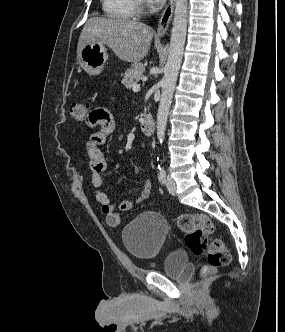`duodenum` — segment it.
Wrapping results in <instances>:
<instances>
[{"label": "duodenum", "mask_w": 285, "mask_h": 332, "mask_svg": "<svg viewBox=\"0 0 285 332\" xmlns=\"http://www.w3.org/2000/svg\"><path fill=\"white\" fill-rule=\"evenodd\" d=\"M141 128L146 136H152L155 131V122L150 115H145L141 122Z\"/></svg>", "instance_id": "obj_1"}]
</instances>
